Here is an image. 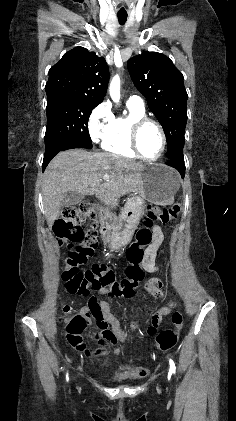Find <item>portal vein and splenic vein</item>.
Here are the masks:
<instances>
[{
  "instance_id": "portal-vein-and-splenic-vein-1",
  "label": "portal vein and splenic vein",
  "mask_w": 236,
  "mask_h": 421,
  "mask_svg": "<svg viewBox=\"0 0 236 421\" xmlns=\"http://www.w3.org/2000/svg\"><path fill=\"white\" fill-rule=\"evenodd\" d=\"M108 178H110L109 174H104L103 180H108Z\"/></svg>"
}]
</instances>
